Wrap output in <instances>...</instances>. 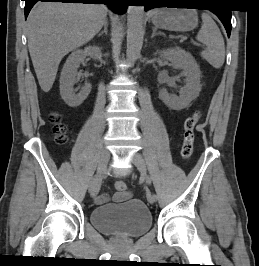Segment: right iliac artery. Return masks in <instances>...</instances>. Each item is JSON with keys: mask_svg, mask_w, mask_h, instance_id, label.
<instances>
[{"mask_svg": "<svg viewBox=\"0 0 259 266\" xmlns=\"http://www.w3.org/2000/svg\"><path fill=\"white\" fill-rule=\"evenodd\" d=\"M96 177V175H95ZM95 177L92 179V181L90 182V185H88V189H92L93 186L95 185V182H93L95 180Z\"/></svg>", "mask_w": 259, "mask_h": 266, "instance_id": "right-iliac-artery-1", "label": "right iliac artery"}]
</instances>
